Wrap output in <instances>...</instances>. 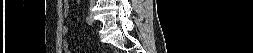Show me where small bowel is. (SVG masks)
Returning a JSON list of instances; mask_svg holds the SVG:
<instances>
[{
	"label": "small bowel",
	"mask_w": 253,
	"mask_h": 53,
	"mask_svg": "<svg viewBox=\"0 0 253 53\" xmlns=\"http://www.w3.org/2000/svg\"><path fill=\"white\" fill-rule=\"evenodd\" d=\"M66 6V5H65ZM67 12H68V8H67V6L64 8V13H65V15H67ZM63 31H64V33H67V31H68V28L67 27H64L63 28ZM65 46H66V44H65Z\"/></svg>",
	"instance_id": "1"
}]
</instances>
